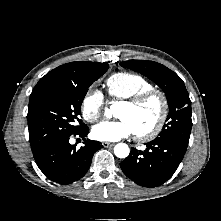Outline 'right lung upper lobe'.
<instances>
[{
  "label": "right lung upper lobe",
  "mask_w": 221,
  "mask_h": 221,
  "mask_svg": "<svg viewBox=\"0 0 221 221\" xmlns=\"http://www.w3.org/2000/svg\"><path fill=\"white\" fill-rule=\"evenodd\" d=\"M74 63L75 62H71L61 65L43 76L34 87L30 97H33L36 93L50 84L72 77L75 74Z\"/></svg>",
  "instance_id": "1"
}]
</instances>
